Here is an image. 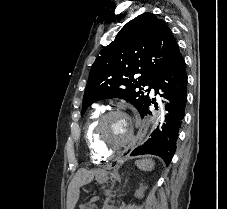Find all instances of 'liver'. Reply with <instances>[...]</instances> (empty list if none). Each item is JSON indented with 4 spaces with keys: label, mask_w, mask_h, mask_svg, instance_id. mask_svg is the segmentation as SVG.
<instances>
[{
    "label": "liver",
    "mask_w": 227,
    "mask_h": 209,
    "mask_svg": "<svg viewBox=\"0 0 227 209\" xmlns=\"http://www.w3.org/2000/svg\"><path fill=\"white\" fill-rule=\"evenodd\" d=\"M93 171H86V169H79L74 179H72L67 191V209H74L79 199V189H75L76 183L79 181H91L93 179Z\"/></svg>",
    "instance_id": "liver-1"
}]
</instances>
